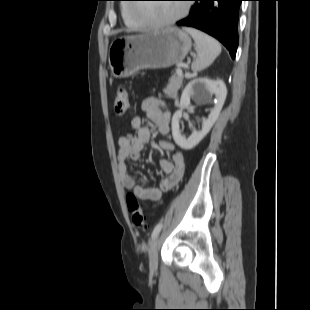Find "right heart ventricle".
<instances>
[{"mask_svg":"<svg viewBox=\"0 0 310 310\" xmlns=\"http://www.w3.org/2000/svg\"><path fill=\"white\" fill-rule=\"evenodd\" d=\"M121 15L125 25L131 29L137 30L144 27L139 21L133 19L130 15V5L122 4Z\"/></svg>","mask_w":310,"mask_h":310,"instance_id":"1","label":"right heart ventricle"}]
</instances>
